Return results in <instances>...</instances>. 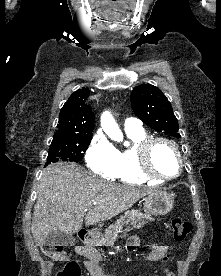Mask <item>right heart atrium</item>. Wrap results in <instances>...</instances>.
Instances as JSON below:
<instances>
[{
	"mask_svg": "<svg viewBox=\"0 0 221 276\" xmlns=\"http://www.w3.org/2000/svg\"><path fill=\"white\" fill-rule=\"evenodd\" d=\"M86 163L95 174L113 179L118 165V150L106 138L96 135L89 146L86 155Z\"/></svg>",
	"mask_w": 221,
	"mask_h": 276,
	"instance_id": "obj_1",
	"label": "right heart atrium"
}]
</instances>
